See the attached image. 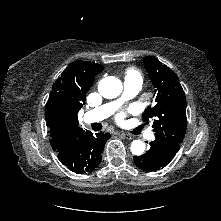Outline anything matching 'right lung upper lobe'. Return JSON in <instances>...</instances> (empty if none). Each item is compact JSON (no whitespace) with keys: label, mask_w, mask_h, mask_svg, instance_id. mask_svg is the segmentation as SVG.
<instances>
[{"label":"right lung upper lobe","mask_w":221,"mask_h":221,"mask_svg":"<svg viewBox=\"0 0 221 221\" xmlns=\"http://www.w3.org/2000/svg\"><path fill=\"white\" fill-rule=\"evenodd\" d=\"M103 69L94 62L75 61L53 84L45 107V119L50 129V144L55 152L73 149L87 131L79 126L78 112L93 85L94 76Z\"/></svg>","instance_id":"1"}]
</instances>
